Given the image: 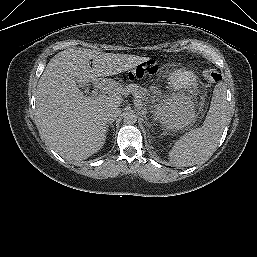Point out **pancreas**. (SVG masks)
Segmentation results:
<instances>
[{"label":"pancreas","instance_id":"1","mask_svg":"<svg viewBox=\"0 0 257 257\" xmlns=\"http://www.w3.org/2000/svg\"><path fill=\"white\" fill-rule=\"evenodd\" d=\"M124 89L133 93V95L136 98L138 107L145 105V102L147 101V94H148V90L146 88H143V87L138 86L136 84H131ZM143 110H145L144 107H143Z\"/></svg>","mask_w":257,"mask_h":257}]
</instances>
